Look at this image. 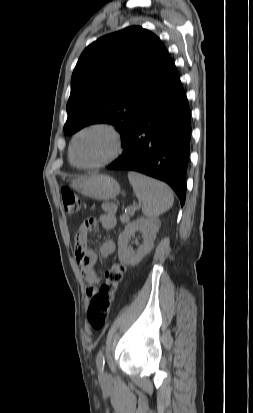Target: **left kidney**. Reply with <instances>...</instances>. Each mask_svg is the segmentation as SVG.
Listing matches in <instances>:
<instances>
[{"label":"left kidney","instance_id":"obj_1","mask_svg":"<svg viewBox=\"0 0 253 413\" xmlns=\"http://www.w3.org/2000/svg\"><path fill=\"white\" fill-rule=\"evenodd\" d=\"M159 228L160 222L156 219L139 218L127 224L124 231L118 237V257L120 262L126 265H137L152 250ZM136 231L142 232L144 242L134 252L132 248L128 247V242Z\"/></svg>","mask_w":253,"mask_h":413}]
</instances>
